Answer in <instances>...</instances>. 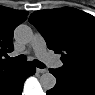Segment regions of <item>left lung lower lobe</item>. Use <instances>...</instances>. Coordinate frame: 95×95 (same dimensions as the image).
<instances>
[{"label":"left lung lower lobe","mask_w":95,"mask_h":95,"mask_svg":"<svg viewBox=\"0 0 95 95\" xmlns=\"http://www.w3.org/2000/svg\"><path fill=\"white\" fill-rule=\"evenodd\" d=\"M56 77V85L47 95H95V78L61 69H49Z\"/></svg>","instance_id":"left-lung-lower-lobe-1"}]
</instances>
